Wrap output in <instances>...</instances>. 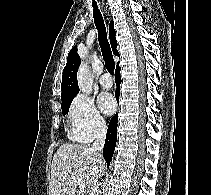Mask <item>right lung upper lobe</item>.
Returning <instances> with one entry per match:
<instances>
[{
	"instance_id": "1",
	"label": "right lung upper lobe",
	"mask_w": 211,
	"mask_h": 195,
	"mask_svg": "<svg viewBox=\"0 0 211 195\" xmlns=\"http://www.w3.org/2000/svg\"><path fill=\"white\" fill-rule=\"evenodd\" d=\"M116 32L113 28V21L109 25V37L113 53L119 56L117 52V41L115 38ZM81 63L80 57L77 54V47H73L68 54L67 63L63 70L62 83H61V99L62 103L72 101L73 98L79 92L78 82H77V71ZM119 66H117L118 68Z\"/></svg>"
}]
</instances>
